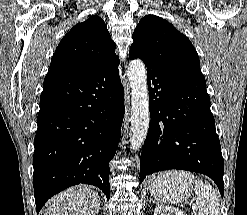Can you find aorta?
I'll return each mask as SVG.
<instances>
[{
    "instance_id": "obj_1",
    "label": "aorta",
    "mask_w": 247,
    "mask_h": 215,
    "mask_svg": "<svg viewBox=\"0 0 247 215\" xmlns=\"http://www.w3.org/2000/svg\"><path fill=\"white\" fill-rule=\"evenodd\" d=\"M127 75L131 87L130 144L134 151L144 144L149 123V94L146 67L142 60L134 59L128 65Z\"/></svg>"
}]
</instances>
